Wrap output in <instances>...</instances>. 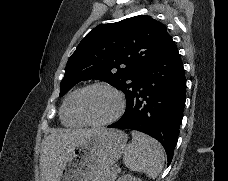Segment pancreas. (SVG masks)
I'll list each match as a JSON object with an SVG mask.
<instances>
[{
  "mask_svg": "<svg viewBox=\"0 0 228 181\" xmlns=\"http://www.w3.org/2000/svg\"><path fill=\"white\" fill-rule=\"evenodd\" d=\"M118 173L119 171H117V169H111L110 171V175H109V181H115V179H117L118 177Z\"/></svg>",
  "mask_w": 228,
  "mask_h": 181,
  "instance_id": "cf45deb5",
  "label": "pancreas"
}]
</instances>
